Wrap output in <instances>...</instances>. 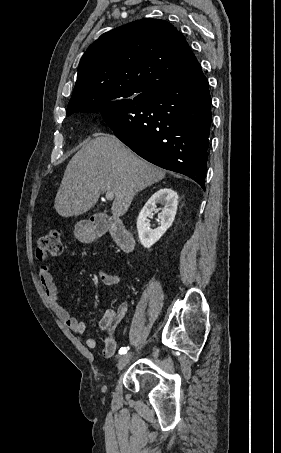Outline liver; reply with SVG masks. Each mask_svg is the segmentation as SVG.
<instances>
[{"label": "liver", "mask_w": 281, "mask_h": 453, "mask_svg": "<svg viewBox=\"0 0 281 453\" xmlns=\"http://www.w3.org/2000/svg\"><path fill=\"white\" fill-rule=\"evenodd\" d=\"M162 178L165 170L137 156L114 134H102L69 160L54 206L61 216H78L95 206L101 192H114L112 214L122 216L137 192Z\"/></svg>", "instance_id": "1"}]
</instances>
